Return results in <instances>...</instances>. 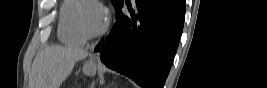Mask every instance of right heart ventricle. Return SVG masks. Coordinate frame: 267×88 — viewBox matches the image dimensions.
<instances>
[{
  "mask_svg": "<svg viewBox=\"0 0 267 88\" xmlns=\"http://www.w3.org/2000/svg\"><path fill=\"white\" fill-rule=\"evenodd\" d=\"M82 1H64L60 10L58 37L66 45L81 46L87 38L81 33L77 23V8Z\"/></svg>",
  "mask_w": 267,
  "mask_h": 88,
  "instance_id": "e07e8e85",
  "label": "right heart ventricle"
}]
</instances>
